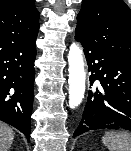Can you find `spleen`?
<instances>
[{"mask_svg":"<svg viewBox=\"0 0 131 151\" xmlns=\"http://www.w3.org/2000/svg\"><path fill=\"white\" fill-rule=\"evenodd\" d=\"M102 142L109 151H131V134L126 132H107Z\"/></svg>","mask_w":131,"mask_h":151,"instance_id":"spleen-1","label":"spleen"}]
</instances>
